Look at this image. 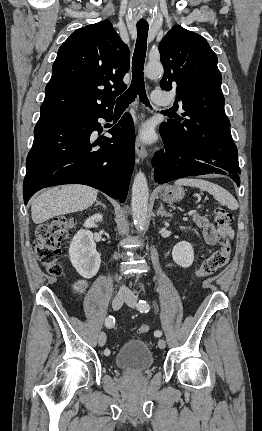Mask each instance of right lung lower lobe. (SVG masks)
Segmentation results:
<instances>
[{
  "mask_svg": "<svg viewBox=\"0 0 262 431\" xmlns=\"http://www.w3.org/2000/svg\"><path fill=\"white\" fill-rule=\"evenodd\" d=\"M98 118L110 120L112 112L40 117L26 160L25 204L38 190L61 184L88 185L124 202L134 167L133 120L126 113L109 130L112 138L94 140L92 133L102 132Z\"/></svg>",
  "mask_w": 262,
  "mask_h": 431,
  "instance_id": "right-lung-lower-lobe-1",
  "label": "right lung lower lobe"
}]
</instances>
